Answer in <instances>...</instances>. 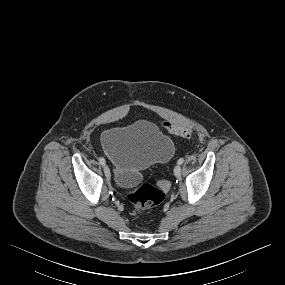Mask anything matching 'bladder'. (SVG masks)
<instances>
[{
    "instance_id": "bladder-1",
    "label": "bladder",
    "mask_w": 285,
    "mask_h": 285,
    "mask_svg": "<svg viewBox=\"0 0 285 285\" xmlns=\"http://www.w3.org/2000/svg\"><path fill=\"white\" fill-rule=\"evenodd\" d=\"M101 142L113 167L114 183L122 190L135 188L145 169L168 161L174 153L172 140L147 120L108 129Z\"/></svg>"
}]
</instances>
